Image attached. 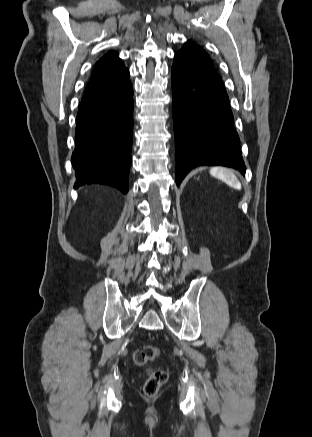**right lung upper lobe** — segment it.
I'll return each mask as SVG.
<instances>
[{
	"mask_svg": "<svg viewBox=\"0 0 312 437\" xmlns=\"http://www.w3.org/2000/svg\"><path fill=\"white\" fill-rule=\"evenodd\" d=\"M128 72L118 54L114 51L109 52L97 61L83 99L113 86Z\"/></svg>",
	"mask_w": 312,
	"mask_h": 437,
	"instance_id": "obj_1",
	"label": "right lung upper lobe"
}]
</instances>
